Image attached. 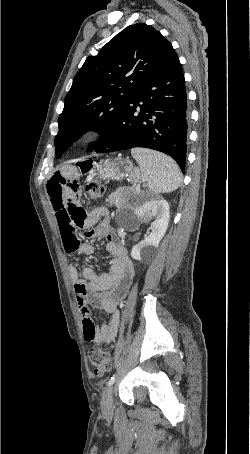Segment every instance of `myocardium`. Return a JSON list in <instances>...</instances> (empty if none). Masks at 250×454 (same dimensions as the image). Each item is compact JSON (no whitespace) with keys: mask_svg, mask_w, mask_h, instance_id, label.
<instances>
[{"mask_svg":"<svg viewBox=\"0 0 250 454\" xmlns=\"http://www.w3.org/2000/svg\"><path fill=\"white\" fill-rule=\"evenodd\" d=\"M101 136H102V132H100L96 129H90L83 134V139L84 140H94V139L100 138Z\"/></svg>","mask_w":250,"mask_h":454,"instance_id":"myocardium-1","label":"myocardium"}]
</instances>
